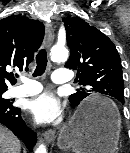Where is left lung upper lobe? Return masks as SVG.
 <instances>
[{"instance_id": "obj_1", "label": "left lung upper lobe", "mask_w": 130, "mask_h": 153, "mask_svg": "<svg viewBox=\"0 0 130 153\" xmlns=\"http://www.w3.org/2000/svg\"><path fill=\"white\" fill-rule=\"evenodd\" d=\"M63 22L71 50L65 67L78 71L76 82L82 85L70 95L72 105H79L93 93L107 94L124 103L121 60L112 41L79 17L68 16Z\"/></svg>"}]
</instances>
